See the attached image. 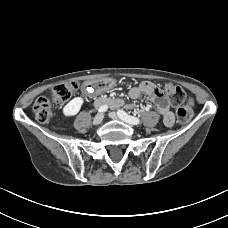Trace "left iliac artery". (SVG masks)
I'll return each instance as SVG.
<instances>
[{
  "label": "left iliac artery",
  "mask_w": 228,
  "mask_h": 228,
  "mask_svg": "<svg viewBox=\"0 0 228 228\" xmlns=\"http://www.w3.org/2000/svg\"><path fill=\"white\" fill-rule=\"evenodd\" d=\"M117 114L120 119L124 120L125 122H128L130 124L138 125L140 124V119L131 115H128L125 111L123 110H118Z\"/></svg>",
  "instance_id": "44dca946"
}]
</instances>
